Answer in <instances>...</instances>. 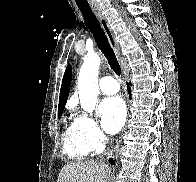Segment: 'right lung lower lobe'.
Returning <instances> with one entry per match:
<instances>
[{"mask_svg":"<svg viewBox=\"0 0 196 182\" xmlns=\"http://www.w3.org/2000/svg\"><path fill=\"white\" fill-rule=\"evenodd\" d=\"M127 85H129L128 83H127ZM127 90H128V93L129 94H131V88L128 86L127 87ZM131 98V97H130ZM109 162L111 163V164H114L115 163V160H113L112 158L109 160Z\"/></svg>","mask_w":196,"mask_h":182,"instance_id":"right-lung-lower-lobe-1","label":"right lung lower lobe"}]
</instances>
